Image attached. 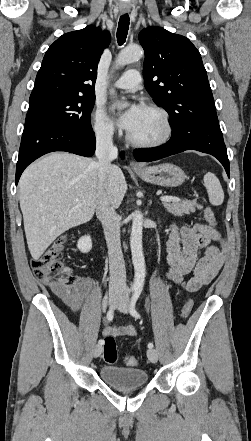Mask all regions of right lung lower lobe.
<instances>
[{
    "label": "right lung lower lobe",
    "instance_id": "obj_1",
    "mask_svg": "<svg viewBox=\"0 0 251 441\" xmlns=\"http://www.w3.org/2000/svg\"><path fill=\"white\" fill-rule=\"evenodd\" d=\"M96 139L93 130L76 132L50 120L26 116L16 166V185L24 169L40 156L66 151L85 157L94 154ZM123 156V153H121Z\"/></svg>",
    "mask_w": 251,
    "mask_h": 441
}]
</instances>
